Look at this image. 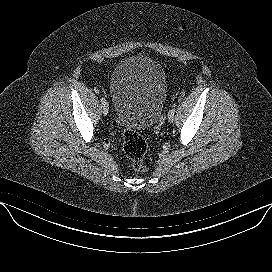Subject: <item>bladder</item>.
Segmentation results:
<instances>
[{"label": "bladder", "mask_w": 272, "mask_h": 272, "mask_svg": "<svg viewBox=\"0 0 272 272\" xmlns=\"http://www.w3.org/2000/svg\"><path fill=\"white\" fill-rule=\"evenodd\" d=\"M109 89L120 123L127 130H144L159 118L164 108L166 74L156 60L132 56L115 67Z\"/></svg>", "instance_id": "31cf9c89"}]
</instances>
